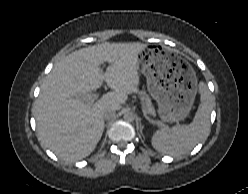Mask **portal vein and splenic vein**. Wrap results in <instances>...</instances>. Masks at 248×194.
<instances>
[{
	"label": "portal vein and splenic vein",
	"instance_id": "18ae733b",
	"mask_svg": "<svg viewBox=\"0 0 248 194\" xmlns=\"http://www.w3.org/2000/svg\"><path fill=\"white\" fill-rule=\"evenodd\" d=\"M100 96L99 93L93 94V95H83L81 98L86 101L89 105H92L95 101ZM164 126V124H160Z\"/></svg>",
	"mask_w": 248,
	"mask_h": 194
}]
</instances>
